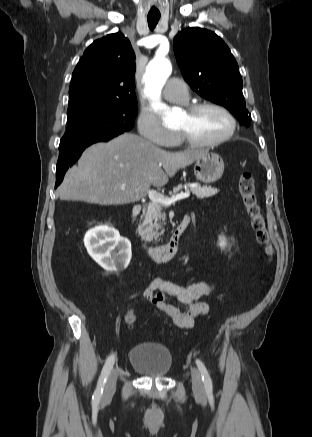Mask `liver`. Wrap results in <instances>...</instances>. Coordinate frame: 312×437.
I'll return each instance as SVG.
<instances>
[{
	"label": "liver",
	"instance_id": "6515ba94",
	"mask_svg": "<svg viewBox=\"0 0 312 437\" xmlns=\"http://www.w3.org/2000/svg\"><path fill=\"white\" fill-rule=\"evenodd\" d=\"M206 152H170L138 135L124 133L88 147L78 165L66 173L58 188L59 197L99 205L137 202L151 186H164L180 168Z\"/></svg>",
	"mask_w": 312,
	"mask_h": 437
}]
</instances>
